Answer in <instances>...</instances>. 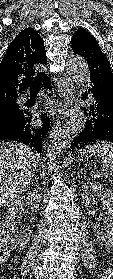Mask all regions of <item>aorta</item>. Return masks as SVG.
I'll list each match as a JSON object with an SVG mask.
<instances>
[{
    "label": "aorta",
    "mask_w": 113,
    "mask_h": 279,
    "mask_svg": "<svg viewBox=\"0 0 113 279\" xmlns=\"http://www.w3.org/2000/svg\"><path fill=\"white\" fill-rule=\"evenodd\" d=\"M67 70L79 86H84L90 81L88 64L83 57L71 56L67 62ZM86 122L87 117L83 111L79 110L70 117L66 125L58 132L53 145L47 152L49 169L52 170L56 167V153L72 142L84 130Z\"/></svg>",
    "instance_id": "1"
}]
</instances>
